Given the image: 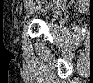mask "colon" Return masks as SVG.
<instances>
[{
  "mask_svg": "<svg viewBox=\"0 0 93 83\" xmlns=\"http://www.w3.org/2000/svg\"><path fill=\"white\" fill-rule=\"evenodd\" d=\"M52 3L60 4V3H62V2H55V1H52ZM67 3H70V2H67Z\"/></svg>",
  "mask_w": 93,
  "mask_h": 83,
  "instance_id": "obj_1",
  "label": "colon"
}]
</instances>
